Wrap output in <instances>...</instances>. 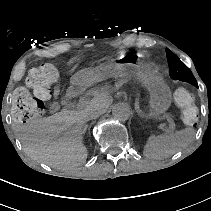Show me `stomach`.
Masks as SVG:
<instances>
[{"mask_svg": "<svg viewBox=\"0 0 211 211\" xmlns=\"http://www.w3.org/2000/svg\"><path fill=\"white\" fill-rule=\"evenodd\" d=\"M114 77L127 81L139 80L150 92V109L153 115L164 113L171 104V91L163 78L154 70L140 65L107 64L99 68L85 69L74 77L78 86L88 87L95 82Z\"/></svg>", "mask_w": 211, "mask_h": 211, "instance_id": "stomach-1", "label": "stomach"}]
</instances>
